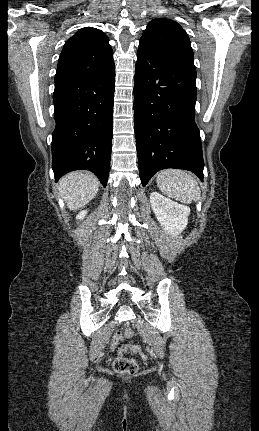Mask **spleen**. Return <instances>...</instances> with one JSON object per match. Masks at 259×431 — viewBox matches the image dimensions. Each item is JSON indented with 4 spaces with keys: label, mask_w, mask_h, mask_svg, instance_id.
Returning <instances> with one entry per match:
<instances>
[{
    "label": "spleen",
    "mask_w": 259,
    "mask_h": 431,
    "mask_svg": "<svg viewBox=\"0 0 259 431\" xmlns=\"http://www.w3.org/2000/svg\"><path fill=\"white\" fill-rule=\"evenodd\" d=\"M159 189L168 197L190 204L200 199V188L195 177L179 169H165L156 176Z\"/></svg>",
    "instance_id": "1"
}]
</instances>
